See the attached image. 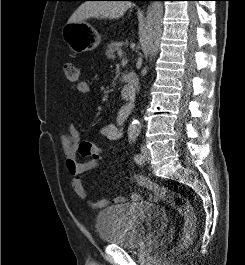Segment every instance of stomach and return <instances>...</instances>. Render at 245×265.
<instances>
[{
	"instance_id": "0dacf381",
	"label": "stomach",
	"mask_w": 245,
	"mask_h": 265,
	"mask_svg": "<svg viewBox=\"0 0 245 265\" xmlns=\"http://www.w3.org/2000/svg\"><path fill=\"white\" fill-rule=\"evenodd\" d=\"M64 42L74 53L95 49L101 41L99 33L88 23H67L62 29Z\"/></svg>"
}]
</instances>
